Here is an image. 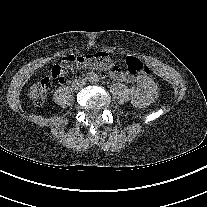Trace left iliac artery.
Returning <instances> with one entry per match:
<instances>
[{
    "mask_svg": "<svg viewBox=\"0 0 207 207\" xmlns=\"http://www.w3.org/2000/svg\"><path fill=\"white\" fill-rule=\"evenodd\" d=\"M93 81L96 83L98 82V78L97 77H94Z\"/></svg>",
    "mask_w": 207,
    "mask_h": 207,
    "instance_id": "left-iliac-artery-1",
    "label": "left iliac artery"
}]
</instances>
